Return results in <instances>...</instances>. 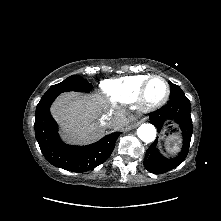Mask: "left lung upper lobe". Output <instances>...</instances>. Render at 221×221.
I'll return each instance as SVG.
<instances>
[{
  "label": "left lung upper lobe",
  "instance_id": "1",
  "mask_svg": "<svg viewBox=\"0 0 221 221\" xmlns=\"http://www.w3.org/2000/svg\"><path fill=\"white\" fill-rule=\"evenodd\" d=\"M169 84H170V89H171L169 99L177 98V97H185L184 92L181 90V88L178 85H175L170 81H169Z\"/></svg>",
  "mask_w": 221,
  "mask_h": 221
}]
</instances>
